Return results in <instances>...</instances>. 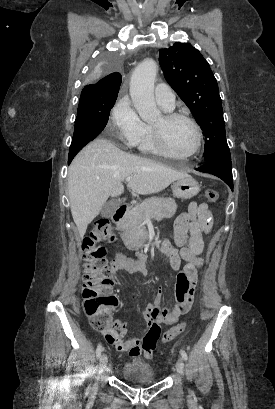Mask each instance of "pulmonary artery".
I'll return each mask as SVG.
<instances>
[{
	"instance_id": "pulmonary-artery-1",
	"label": "pulmonary artery",
	"mask_w": 275,
	"mask_h": 409,
	"mask_svg": "<svg viewBox=\"0 0 275 409\" xmlns=\"http://www.w3.org/2000/svg\"><path fill=\"white\" fill-rule=\"evenodd\" d=\"M155 98L160 108L173 110L175 107V95L170 91L169 85H157L155 88Z\"/></svg>"
}]
</instances>
